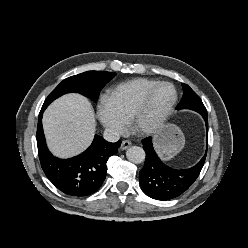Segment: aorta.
<instances>
[{
  "label": "aorta",
  "mask_w": 248,
  "mask_h": 248,
  "mask_svg": "<svg viewBox=\"0 0 248 248\" xmlns=\"http://www.w3.org/2000/svg\"><path fill=\"white\" fill-rule=\"evenodd\" d=\"M126 157L130 162L139 164L145 160V151L139 146H131L126 151Z\"/></svg>",
  "instance_id": "762f6f07"
}]
</instances>
